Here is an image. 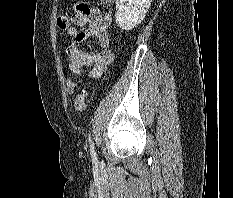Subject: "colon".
Here are the masks:
<instances>
[{
	"mask_svg": "<svg viewBox=\"0 0 233 198\" xmlns=\"http://www.w3.org/2000/svg\"><path fill=\"white\" fill-rule=\"evenodd\" d=\"M57 26L63 30L67 29L69 26V18L65 15L59 16ZM74 107L77 111H84L87 108V92L85 90L77 94L74 100Z\"/></svg>",
	"mask_w": 233,
	"mask_h": 198,
	"instance_id": "5ec220e1",
	"label": "colon"
}]
</instances>
